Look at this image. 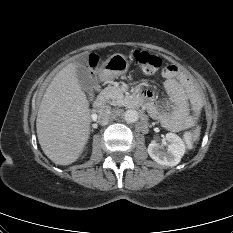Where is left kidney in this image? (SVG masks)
Wrapping results in <instances>:
<instances>
[{
  "label": "left kidney",
  "mask_w": 233,
  "mask_h": 233,
  "mask_svg": "<svg viewBox=\"0 0 233 233\" xmlns=\"http://www.w3.org/2000/svg\"><path fill=\"white\" fill-rule=\"evenodd\" d=\"M165 139L168 143L166 149H161L158 143L152 141L148 146V154L161 165L176 166L185 153V142L174 133H167Z\"/></svg>",
  "instance_id": "left-kidney-1"
}]
</instances>
